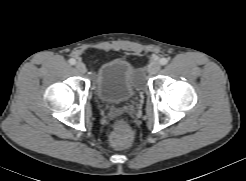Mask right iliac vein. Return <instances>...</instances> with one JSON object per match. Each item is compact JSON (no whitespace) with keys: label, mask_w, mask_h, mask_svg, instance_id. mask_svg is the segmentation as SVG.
<instances>
[{"label":"right iliac vein","mask_w":246,"mask_h":181,"mask_svg":"<svg viewBox=\"0 0 246 181\" xmlns=\"http://www.w3.org/2000/svg\"><path fill=\"white\" fill-rule=\"evenodd\" d=\"M75 67H76L77 71L80 73H86V71H87L85 64L82 62H77L75 64Z\"/></svg>","instance_id":"1"}]
</instances>
